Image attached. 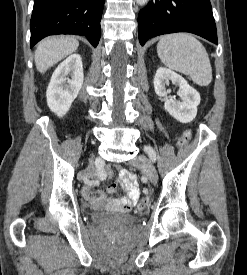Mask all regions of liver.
<instances>
[{"mask_svg": "<svg viewBox=\"0 0 247 275\" xmlns=\"http://www.w3.org/2000/svg\"><path fill=\"white\" fill-rule=\"evenodd\" d=\"M79 42L74 37H49L41 41L35 51V65L45 73L53 65L77 50Z\"/></svg>", "mask_w": 247, "mask_h": 275, "instance_id": "6515ba94", "label": "liver"}]
</instances>
